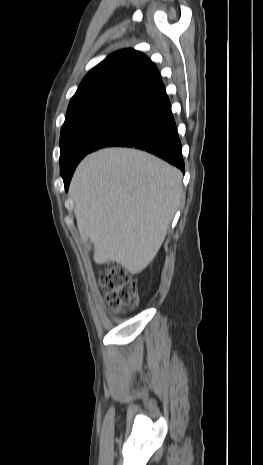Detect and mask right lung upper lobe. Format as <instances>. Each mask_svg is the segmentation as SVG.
<instances>
[{"instance_id":"1","label":"right lung upper lobe","mask_w":263,"mask_h":465,"mask_svg":"<svg viewBox=\"0 0 263 465\" xmlns=\"http://www.w3.org/2000/svg\"><path fill=\"white\" fill-rule=\"evenodd\" d=\"M161 85L158 69L149 58L134 49L121 50L109 55L85 76L68 110L102 98L138 100Z\"/></svg>"}]
</instances>
